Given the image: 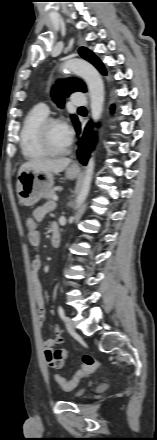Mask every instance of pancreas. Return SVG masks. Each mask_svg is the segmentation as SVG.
<instances>
[{
  "mask_svg": "<svg viewBox=\"0 0 157 440\" xmlns=\"http://www.w3.org/2000/svg\"><path fill=\"white\" fill-rule=\"evenodd\" d=\"M59 189V187H55L45 196V198L49 200V203L53 202V197L56 195L55 192Z\"/></svg>",
  "mask_w": 157,
  "mask_h": 440,
  "instance_id": "obj_1",
  "label": "pancreas"
}]
</instances>
